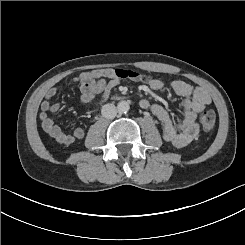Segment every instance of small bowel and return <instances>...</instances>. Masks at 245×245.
Returning a JSON list of instances; mask_svg holds the SVG:
<instances>
[{
    "instance_id": "1",
    "label": "small bowel",
    "mask_w": 245,
    "mask_h": 245,
    "mask_svg": "<svg viewBox=\"0 0 245 245\" xmlns=\"http://www.w3.org/2000/svg\"><path fill=\"white\" fill-rule=\"evenodd\" d=\"M75 81L80 84V102L85 104L93 100L107 98L112 89L120 84L121 79L115 75L114 69L106 68L83 73ZM149 87L154 91H162L170 87L177 95L184 97L182 102L183 118L177 123H174L168 112L158 104L142 100L140 105L142 108L150 109L161 121L162 136L165 141L178 148L188 145L199 133L198 114L211 102L207 91L201 87H193L183 80L166 82L157 78L150 80ZM56 93L57 89L54 87L45 92L39 118L42 129L50 137L61 144L68 145L76 140H81L85 133L80 127L73 128L71 132L67 133L51 119L49 114L60 108L59 103L52 102Z\"/></svg>"
}]
</instances>
